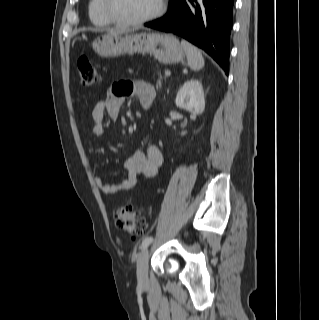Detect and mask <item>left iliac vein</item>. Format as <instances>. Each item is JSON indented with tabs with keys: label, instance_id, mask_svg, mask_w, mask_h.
Listing matches in <instances>:
<instances>
[{
	"label": "left iliac vein",
	"instance_id": "left-iliac-vein-1",
	"mask_svg": "<svg viewBox=\"0 0 319 320\" xmlns=\"http://www.w3.org/2000/svg\"><path fill=\"white\" fill-rule=\"evenodd\" d=\"M148 263L149 252L145 248L141 251L137 261V280L140 285H146L148 283Z\"/></svg>",
	"mask_w": 319,
	"mask_h": 320
}]
</instances>
